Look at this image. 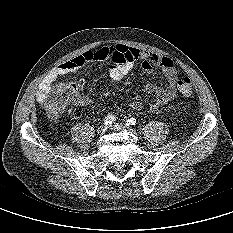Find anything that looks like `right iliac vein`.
I'll return each instance as SVG.
<instances>
[{
  "instance_id": "1",
  "label": "right iliac vein",
  "mask_w": 233,
  "mask_h": 233,
  "mask_svg": "<svg viewBox=\"0 0 233 233\" xmlns=\"http://www.w3.org/2000/svg\"><path fill=\"white\" fill-rule=\"evenodd\" d=\"M106 131H107V127L104 126V125L100 126L98 128V130H97V132H98L99 135H104L106 133Z\"/></svg>"
}]
</instances>
